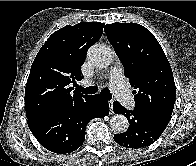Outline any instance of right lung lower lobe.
<instances>
[{
    "label": "right lung lower lobe",
    "mask_w": 196,
    "mask_h": 166,
    "mask_svg": "<svg viewBox=\"0 0 196 166\" xmlns=\"http://www.w3.org/2000/svg\"><path fill=\"white\" fill-rule=\"evenodd\" d=\"M109 114V104L101 95L86 98L47 116L28 120L38 142L47 150L65 154L78 149L85 140L87 123Z\"/></svg>",
    "instance_id": "right-lung-lower-lobe-1"
}]
</instances>
